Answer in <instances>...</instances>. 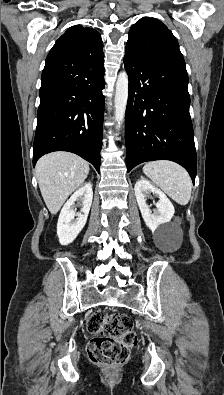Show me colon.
<instances>
[{
    "mask_svg": "<svg viewBox=\"0 0 224 395\" xmlns=\"http://www.w3.org/2000/svg\"><path fill=\"white\" fill-rule=\"evenodd\" d=\"M87 329L95 334L87 347L93 363L111 367L127 362L136 345L133 323L128 316L98 310L89 317Z\"/></svg>",
    "mask_w": 224,
    "mask_h": 395,
    "instance_id": "5ec220e1",
    "label": "colon"
}]
</instances>
